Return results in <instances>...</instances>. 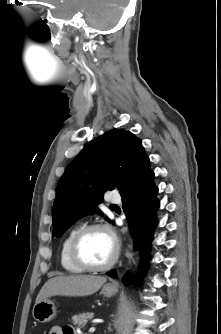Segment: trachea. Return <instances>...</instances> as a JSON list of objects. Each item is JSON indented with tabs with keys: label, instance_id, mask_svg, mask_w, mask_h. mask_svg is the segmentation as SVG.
Here are the masks:
<instances>
[{
	"label": "trachea",
	"instance_id": "obj_1",
	"mask_svg": "<svg viewBox=\"0 0 221 334\" xmlns=\"http://www.w3.org/2000/svg\"><path fill=\"white\" fill-rule=\"evenodd\" d=\"M110 207H116V205H114V204H111V205H110Z\"/></svg>",
	"mask_w": 221,
	"mask_h": 334
}]
</instances>
